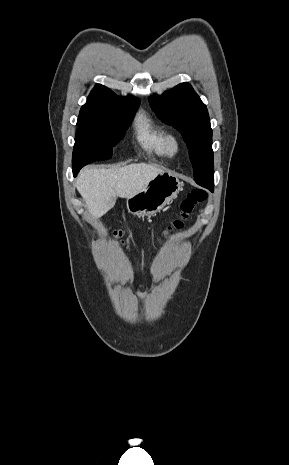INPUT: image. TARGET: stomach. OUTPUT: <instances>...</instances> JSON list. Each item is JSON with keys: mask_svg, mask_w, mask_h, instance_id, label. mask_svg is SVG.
I'll list each match as a JSON object with an SVG mask.
<instances>
[{"mask_svg": "<svg viewBox=\"0 0 289 465\" xmlns=\"http://www.w3.org/2000/svg\"><path fill=\"white\" fill-rule=\"evenodd\" d=\"M182 188L183 183L177 177L162 172L141 191L127 198V210L138 217L152 216L175 199Z\"/></svg>", "mask_w": 289, "mask_h": 465, "instance_id": "obj_1", "label": "stomach"}]
</instances>
